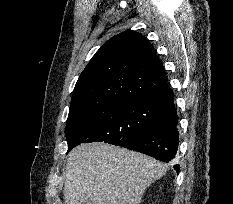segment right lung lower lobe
<instances>
[{
  "label": "right lung lower lobe",
  "instance_id": "98d812e1",
  "mask_svg": "<svg viewBox=\"0 0 233 204\" xmlns=\"http://www.w3.org/2000/svg\"><path fill=\"white\" fill-rule=\"evenodd\" d=\"M173 98L170 88L152 97V104L162 117L160 125L143 134L122 138L114 145L141 152L166 163L174 159L179 136L178 116ZM174 169L178 172L179 165H175Z\"/></svg>",
  "mask_w": 233,
  "mask_h": 204
}]
</instances>
